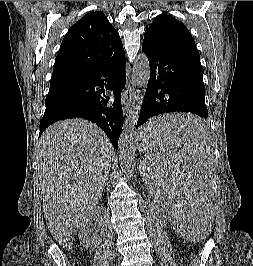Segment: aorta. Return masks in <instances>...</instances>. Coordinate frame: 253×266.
<instances>
[{
	"label": "aorta",
	"mask_w": 253,
	"mask_h": 266,
	"mask_svg": "<svg viewBox=\"0 0 253 266\" xmlns=\"http://www.w3.org/2000/svg\"><path fill=\"white\" fill-rule=\"evenodd\" d=\"M149 78L150 67L148 58L144 53L139 54L138 59L134 63L132 69V86L137 88L133 93L134 103L125 119L123 129L119 138V162L121 170L125 174H129L133 169L135 158V126L137 124L145 95V88L148 85Z\"/></svg>",
	"instance_id": "1"
}]
</instances>
